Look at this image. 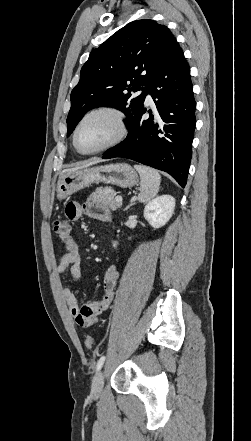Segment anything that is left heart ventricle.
Returning <instances> with one entry per match:
<instances>
[{
  "label": "left heart ventricle",
  "mask_w": 251,
  "mask_h": 441,
  "mask_svg": "<svg viewBox=\"0 0 251 441\" xmlns=\"http://www.w3.org/2000/svg\"><path fill=\"white\" fill-rule=\"evenodd\" d=\"M114 118L106 113L89 117L78 133V144L82 150L90 151L110 141L117 133Z\"/></svg>",
  "instance_id": "left-heart-ventricle-1"
}]
</instances>
